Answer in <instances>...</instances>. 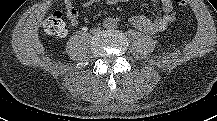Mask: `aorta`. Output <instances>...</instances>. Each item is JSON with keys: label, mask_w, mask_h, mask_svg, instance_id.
I'll return each instance as SVG.
<instances>
[{"label": "aorta", "mask_w": 217, "mask_h": 121, "mask_svg": "<svg viewBox=\"0 0 217 121\" xmlns=\"http://www.w3.org/2000/svg\"><path fill=\"white\" fill-rule=\"evenodd\" d=\"M103 25L107 29H113L116 27L117 22L114 18H106L103 22Z\"/></svg>", "instance_id": "762f6f07"}]
</instances>
